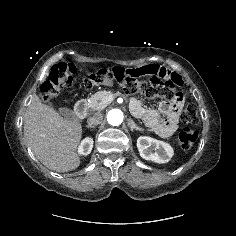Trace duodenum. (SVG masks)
<instances>
[{"label": "duodenum", "mask_w": 236, "mask_h": 236, "mask_svg": "<svg viewBox=\"0 0 236 236\" xmlns=\"http://www.w3.org/2000/svg\"><path fill=\"white\" fill-rule=\"evenodd\" d=\"M88 106L85 99H79L74 105V111L77 116L84 118L87 114Z\"/></svg>", "instance_id": "duodenum-1"}]
</instances>
